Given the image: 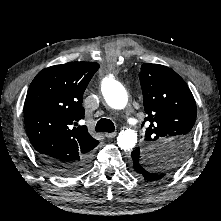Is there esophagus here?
Listing matches in <instances>:
<instances>
[{
  "instance_id": "obj_1",
  "label": "esophagus",
  "mask_w": 221,
  "mask_h": 221,
  "mask_svg": "<svg viewBox=\"0 0 221 221\" xmlns=\"http://www.w3.org/2000/svg\"><path fill=\"white\" fill-rule=\"evenodd\" d=\"M116 135H117L116 132H114V133H106L105 137H107L108 139H111V138H114Z\"/></svg>"
}]
</instances>
